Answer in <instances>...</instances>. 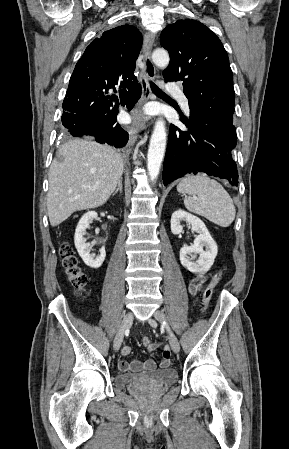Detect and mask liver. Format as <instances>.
I'll use <instances>...</instances> for the list:
<instances>
[{
  "instance_id": "1",
  "label": "liver",
  "mask_w": 289,
  "mask_h": 449,
  "mask_svg": "<svg viewBox=\"0 0 289 449\" xmlns=\"http://www.w3.org/2000/svg\"><path fill=\"white\" fill-rule=\"evenodd\" d=\"M123 169L121 155L111 147L80 139L63 144L48 173L51 226L61 224L76 211L103 205L115 190Z\"/></svg>"
}]
</instances>
